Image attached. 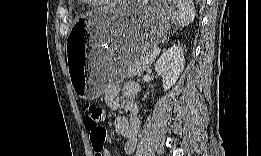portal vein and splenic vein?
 <instances>
[{
  "mask_svg": "<svg viewBox=\"0 0 261 156\" xmlns=\"http://www.w3.org/2000/svg\"><path fill=\"white\" fill-rule=\"evenodd\" d=\"M160 49L159 48H156L154 49L151 53H150V57L151 58H155L156 56H158L160 54Z\"/></svg>",
  "mask_w": 261,
  "mask_h": 156,
  "instance_id": "18ae733b",
  "label": "portal vein and splenic vein"
}]
</instances>
